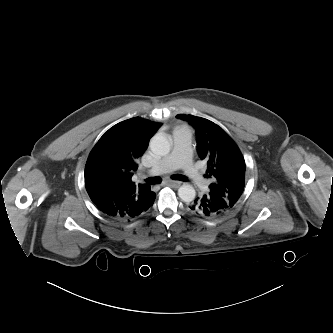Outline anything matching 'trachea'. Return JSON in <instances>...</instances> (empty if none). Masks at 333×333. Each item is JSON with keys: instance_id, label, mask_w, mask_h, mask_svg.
Returning <instances> with one entry per match:
<instances>
[{"instance_id": "obj_1", "label": "trachea", "mask_w": 333, "mask_h": 333, "mask_svg": "<svg viewBox=\"0 0 333 333\" xmlns=\"http://www.w3.org/2000/svg\"><path fill=\"white\" fill-rule=\"evenodd\" d=\"M171 179L180 180V181H188L187 177H185L184 175H181V174L172 175ZM145 182L147 184L154 185V184H160L162 182V180L159 177H149L145 180Z\"/></svg>"}]
</instances>
